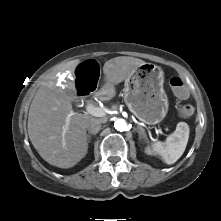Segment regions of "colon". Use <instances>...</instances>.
I'll use <instances>...</instances> for the list:
<instances>
[{"instance_id": "1", "label": "colon", "mask_w": 221, "mask_h": 221, "mask_svg": "<svg viewBox=\"0 0 221 221\" xmlns=\"http://www.w3.org/2000/svg\"><path fill=\"white\" fill-rule=\"evenodd\" d=\"M99 72L100 66L93 59H88L75 68L73 77L76 82L73 86L74 92L71 95V102L74 106L83 107L92 99L93 91L99 81ZM170 86L177 97L181 99L187 97L188 90L180 77H172ZM180 113L184 117H190L194 113V107L189 103H185L181 106Z\"/></svg>"}]
</instances>
